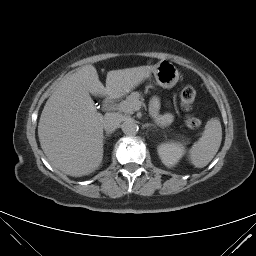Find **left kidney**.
Wrapping results in <instances>:
<instances>
[{"instance_id":"obj_1","label":"left kidney","mask_w":256,"mask_h":256,"mask_svg":"<svg viewBox=\"0 0 256 256\" xmlns=\"http://www.w3.org/2000/svg\"><path fill=\"white\" fill-rule=\"evenodd\" d=\"M157 150L163 164L168 167L174 166L184 154V146L181 143H162Z\"/></svg>"}]
</instances>
